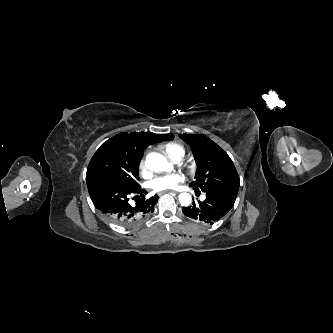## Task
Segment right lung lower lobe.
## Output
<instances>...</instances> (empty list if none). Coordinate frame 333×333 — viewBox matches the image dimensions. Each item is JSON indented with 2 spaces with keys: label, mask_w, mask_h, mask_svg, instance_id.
Returning a JSON list of instances; mask_svg holds the SVG:
<instances>
[{
  "label": "right lung lower lobe",
  "mask_w": 333,
  "mask_h": 333,
  "mask_svg": "<svg viewBox=\"0 0 333 333\" xmlns=\"http://www.w3.org/2000/svg\"><path fill=\"white\" fill-rule=\"evenodd\" d=\"M87 181L91 200L106 218L122 227H131L154 211L158 195L145 199L147 192L141 188L129 187L121 182L106 177H92ZM131 194L140 195L134 197L135 204L129 201Z\"/></svg>",
  "instance_id": "obj_1"
}]
</instances>
